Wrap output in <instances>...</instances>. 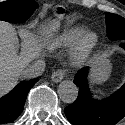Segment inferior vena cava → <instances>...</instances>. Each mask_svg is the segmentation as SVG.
Masks as SVG:
<instances>
[{
    "mask_svg": "<svg viewBox=\"0 0 125 125\" xmlns=\"http://www.w3.org/2000/svg\"><path fill=\"white\" fill-rule=\"evenodd\" d=\"M45 68V62L37 61L34 64L29 65L23 72L24 78L32 79L40 76Z\"/></svg>",
    "mask_w": 125,
    "mask_h": 125,
    "instance_id": "602c4592",
    "label": "inferior vena cava"
}]
</instances>
